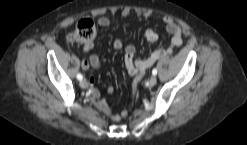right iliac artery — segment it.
Segmentation results:
<instances>
[{"label": "right iliac artery", "instance_id": "1", "mask_svg": "<svg viewBox=\"0 0 247 145\" xmlns=\"http://www.w3.org/2000/svg\"><path fill=\"white\" fill-rule=\"evenodd\" d=\"M77 79L78 80H82L83 79V76L79 73V74H77Z\"/></svg>", "mask_w": 247, "mask_h": 145}]
</instances>
